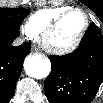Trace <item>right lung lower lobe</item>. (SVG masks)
<instances>
[{"mask_svg":"<svg viewBox=\"0 0 103 103\" xmlns=\"http://www.w3.org/2000/svg\"><path fill=\"white\" fill-rule=\"evenodd\" d=\"M19 34L0 29V102H8L14 94L16 82L21 74L24 58L31 44L15 46L13 41Z\"/></svg>","mask_w":103,"mask_h":103,"instance_id":"1","label":"right lung lower lobe"}]
</instances>
